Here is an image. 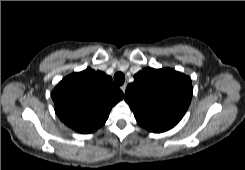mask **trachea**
Listing matches in <instances>:
<instances>
[{"label": "trachea", "mask_w": 245, "mask_h": 170, "mask_svg": "<svg viewBox=\"0 0 245 170\" xmlns=\"http://www.w3.org/2000/svg\"><path fill=\"white\" fill-rule=\"evenodd\" d=\"M114 81L117 85L121 86L123 85L124 81H125V76L123 73L121 72H117L114 75Z\"/></svg>", "instance_id": "obj_1"}]
</instances>
